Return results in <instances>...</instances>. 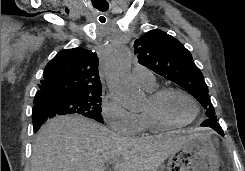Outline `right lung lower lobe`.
<instances>
[{
	"instance_id": "1",
	"label": "right lung lower lobe",
	"mask_w": 245,
	"mask_h": 171,
	"mask_svg": "<svg viewBox=\"0 0 245 171\" xmlns=\"http://www.w3.org/2000/svg\"><path fill=\"white\" fill-rule=\"evenodd\" d=\"M54 114L48 107L37 104L33 107L32 118H33V128L34 132H37L43 123L54 117Z\"/></svg>"
}]
</instances>
